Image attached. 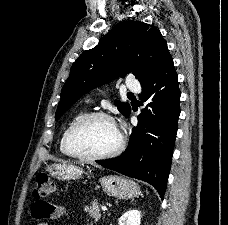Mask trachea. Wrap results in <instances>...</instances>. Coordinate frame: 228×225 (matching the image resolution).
Segmentation results:
<instances>
[{
  "mask_svg": "<svg viewBox=\"0 0 228 225\" xmlns=\"http://www.w3.org/2000/svg\"><path fill=\"white\" fill-rule=\"evenodd\" d=\"M127 96H128V98H133L134 97V95L132 94V92H128Z\"/></svg>",
  "mask_w": 228,
  "mask_h": 225,
  "instance_id": "1",
  "label": "trachea"
}]
</instances>
